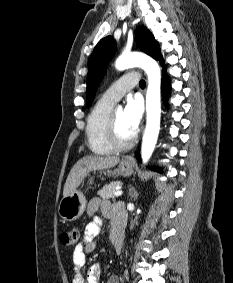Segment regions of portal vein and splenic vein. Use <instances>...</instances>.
<instances>
[{
    "label": "portal vein and splenic vein",
    "instance_id": "portal-vein-and-splenic-vein-1",
    "mask_svg": "<svg viewBox=\"0 0 233 283\" xmlns=\"http://www.w3.org/2000/svg\"><path fill=\"white\" fill-rule=\"evenodd\" d=\"M122 194H123L122 190H116L114 193L115 196H121Z\"/></svg>",
    "mask_w": 233,
    "mask_h": 283
}]
</instances>
